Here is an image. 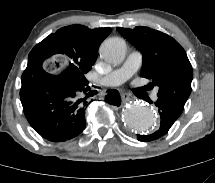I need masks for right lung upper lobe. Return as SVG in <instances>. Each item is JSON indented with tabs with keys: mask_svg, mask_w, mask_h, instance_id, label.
Segmentation results:
<instances>
[{
	"mask_svg": "<svg viewBox=\"0 0 215 183\" xmlns=\"http://www.w3.org/2000/svg\"><path fill=\"white\" fill-rule=\"evenodd\" d=\"M110 32L109 27L89 29L83 25H70L49 35L33 49L39 56H42L43 61L54 54H63L65 46L82 50L88 57L96 61L98 48Z\"/></svg>",
	"mask_w": 215,
	"mask_h": 183,
	"instance_id": "right-lung-upper-lobe-1",
	"label": "right lung upper lobe"
}]
</instances>
